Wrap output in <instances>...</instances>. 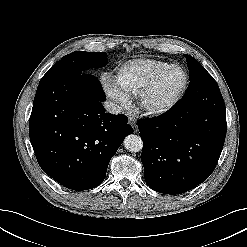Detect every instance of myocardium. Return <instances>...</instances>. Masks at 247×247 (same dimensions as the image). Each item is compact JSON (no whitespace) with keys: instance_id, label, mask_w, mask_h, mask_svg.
I'll return each instance as SVG.
<instances>
[{"instance_id":"obj_1","label":"myocardium","mask_w":247,"mask_h":247,"mask_svg":"<svg viewBox=\"0 0 247 247\" xmlns=\"http://www.w3.org/2000/svg\"><path fill=\"white\" fill-rule=\"evenodd\" d=\"M180 69L183 73V83L182 86L180 87V89L167 101L155 105L152 104L150 102V97L152 95V93L154 92V90L156 89L159 80L161 79V77L169 70L171 69ZM188 86V74L186 72V70L177 64H171L168 65L164 68H161L160 70H158L150 79L149 81L143 86V88L140 90V92L137 95L138 98V103L141 107V109L146 112L147 114L150 115H163L167 112H169L171 109H173L177 103L181 100V98L183 97L186 89Z\"/></svg>"}]
</instances>
